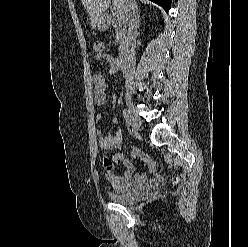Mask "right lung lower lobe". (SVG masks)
<instances>
[{"mask_svg":"<svg viewBox=\"0 0 248 247\" xmlns=\"http://www.w3.org/2000/svg\"><path fill=\"white\" fill-rule=\"evenodd\" d=\"M162 6L166 11L170 9L171 0H150Z\"/></svg>","mask_w":248,"mask_h":247,"instance_id":"obj_1","label":"right lung lower lobe"}]
</instances>
